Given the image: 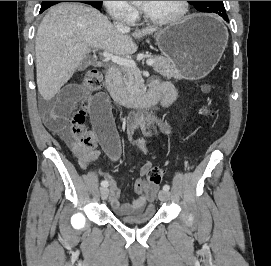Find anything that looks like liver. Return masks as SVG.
<instances>
[{
    "instance_id": "1",
    "label": "liver",
    "mask_w": 271,
    "mask_h": 266,
    "mask_svg": "<svg viewBox=\"0 0 271 266\" xmlns=\"http://www.w3.org/2000/svg\"><path fill=\"white\" fill-rule=\"evenodd\" d=\"M150 27L133 32L117 30L110 20L92 6L62 3L44 16L36 35V72L38 91L44 100L52 99L73 76V67L87 59L91 48L113 55L137 51L135 39L153 34Z\"/></svg>"
}]
</instances>
